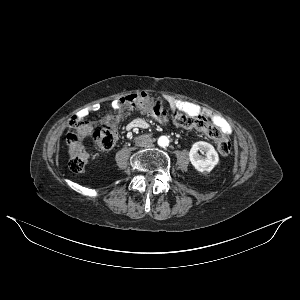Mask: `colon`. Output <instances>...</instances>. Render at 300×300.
<instances>
[{"mask_svg":"<svg viewBox=\"0 0 300 300\" xmlns=\"http://www.w3.org/2000/svg\"><path fill=\"white\" fill-rule=\"evenodd\" d=\"M132 110L150 114L161 122L171 123L180 128L200 131L216 142L218 152L222 157H228L231 154L229 139L217 125L209 122L204 116L191 115L178 110L169 111L158 98L138 92L121 98L115 104L109 120L105 121L100 129L94 130L82 121L72 122L74 130L67 135L71 171H83L88 162V154L83 145L84 140H91L100 150L112 149L118 139L119 117Z\"/></svg>","mask_w":300,"mask_h":300,"instance_id":"1","label":"colon"}]
</instances>
